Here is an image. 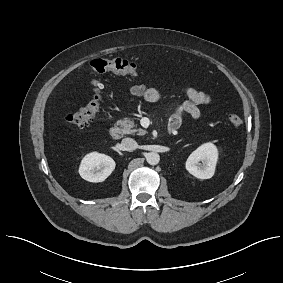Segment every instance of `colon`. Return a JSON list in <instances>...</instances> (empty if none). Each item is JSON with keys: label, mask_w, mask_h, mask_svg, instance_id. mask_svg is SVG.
Masks as SVG:
<instances>
[{"label": "colon", "mask_w": 283, "mask_h": 283, "mask_svg": "<svg viewBox=\"0 0 283 283\" xmlns=\"http://www.w3.org/2000/svg\"><path fill=\"white\" fill-rule=\"evenodd\" d=\"M91 70L94 74L104 72H114L124 75H136L137 65L131 61L122 58L96 59L91 62ZM94 94L92 98L77 112L68 113L65 120L76 127L85 126L92 120L100 110L102 84L99 80L93 79ZM229 121L234 127L242 125L241 117L236 113L229 115Z\"/></svg>", "instance_id": "obj_1"}]
</instances>
